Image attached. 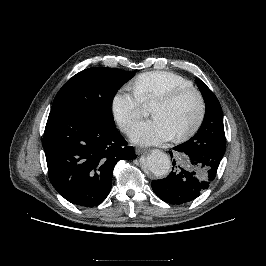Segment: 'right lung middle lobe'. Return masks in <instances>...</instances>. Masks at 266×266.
I'll return each instance as SVG.
<instances>
[{"instance_id":"1","label":"right lung middle lobe","mask_w":266,"mask_h":266,"mask_svg":"<svg viewBox=\"0 0 266 266\" xmlns=\"http://www.w3.org/2000/svg\"><path fill=\"white\" fill-rule=\"evenodd\" d=\"M134 76L114 68H88L74 75L57 93L51 112L89 116L113 124L111 101L116 91Z\"/></svg>"}]
</instances>
